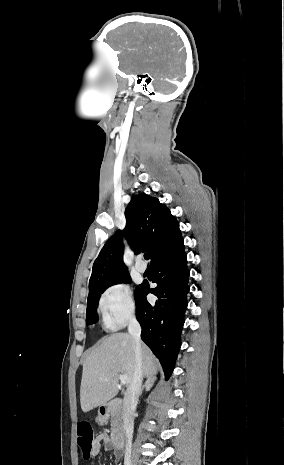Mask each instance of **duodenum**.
<instances>
[{
  "mask_svg": "<svg viewBox=\"0 0 284 465\" xmlns=\"http://www.w3.org/2000/svg\"><path fill=\"white\" fill-rule=\"evenodd\" d=\"M123 405L122 400H113L107 405H104L100 408L98 418L101 423H103L108 416H110L111 412L121 408ZM111 442L112 446L117 449H122L125 445V432L121 428H117L112 432L111 435Z\"/></svg>",
  "mask_w": 284,
  "mask_h": 465,
  "instance_id": "410a0bca",
  "label": "duodenum"
}]
</instances>
